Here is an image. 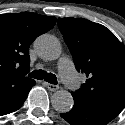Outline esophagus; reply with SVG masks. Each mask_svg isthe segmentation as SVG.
I'll use <instances>...</instances> for the list:
<instances>
[{
    "instance_id": "obj_1",
    "label": "esophagus",
    "mask_w": 125,
    "mask_h": 125,
    "mask_svg": "<svg viewBox=\"0 0 125 125\" xmlns=\"http://www.w3.org/2000/svg\"><path fill=\"white\" fill-rule=\"evenodd\" d=\"M44 84L48 88V90H50L52 92L57 91L59 89L58 85H54V84L47 83V82H45Z\"/></svg>"
}]
</instances>
